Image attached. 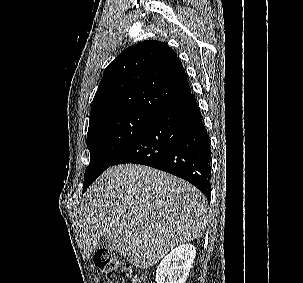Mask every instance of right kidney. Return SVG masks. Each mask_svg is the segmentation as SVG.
<instances>
[{
  "label": "right kidney",
  "mask_w": 303,
  "mask_h": 283,
  "mask_svg": "<svg viewBox=\"0 0 303 283\" xmlns=\"http://www.w3.org/2000/svg\"><path fill=\"white\" fill-rule=\"evenodd\" d=\"M195 255L196 249L191 244H182L171 250L157 267L156 282L185 283Z\"/></svg>",
  "instance_id": "right-kidney-1"
}]
</instances>
